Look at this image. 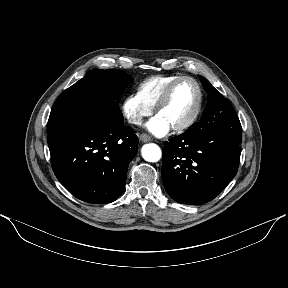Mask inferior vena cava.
I'll return each instance as SVG.
<instances>
[{
    "instance_id": "obj_1",
    "label": "inferior vena cava",
    "mask_w": 288,
    "mask_h": 288,
    "mask_svg": "<svg viewBox=\"0 0 288 288\" xmlns=\"http://www.w3.org/2000/svg\"><path fill=\"white\" fill-rule=\"evenodd\" d=\"M129 122H130V123H134V124H138V123H140V119H138V118H133V119H130Z\"/></svg>"
}]
</instances>
